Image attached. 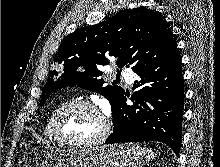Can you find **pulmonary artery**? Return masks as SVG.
<instances>
[{
  "instance_id": "1",
  "label": "pulmonary artery",
  "mask_w": 220,
  "mask_h": 167,
  "mask_svg": "<svg viewBox=\"0 0 220 167\" xmlns=\"http://www.w3.org/2000/svg\"><path fill=\"white\" fill-rule=\"evenodd\" d=\"M123 77L125 78V81L128 85H131L133 83V74L131 71L127 70V69H123L121 71Z\"/></svg>"
}]
</instances>
